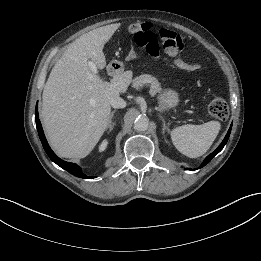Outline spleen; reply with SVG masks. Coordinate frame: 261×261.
Listing matches in <instances>:
<instances>
[{"instance_id": "spleen-1", "label": "spleen", "mask_w": 261, "mask_h": 261, "mask_svg": "<svg viewBox=\"0 0 261 261\" xmlns=\"http://www.w3.org/2000/svg\"><path fill=\"white\" fill-rule=\"evenodd\" d=\"M218 121H210L202 125H182L171 131V139L176 149L189 158L204 155L220 131Z\"/></svg>"}]
</instances>
